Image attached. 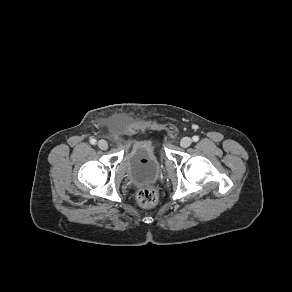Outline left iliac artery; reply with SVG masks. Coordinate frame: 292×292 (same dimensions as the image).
Segmentation results:
<instances>
[{
  "instance_id": "44dca946",
  "label": "left iliac artery",
  "mask_w": 292,
  "mask_h": 292,
  "mask_svg": "<svg viewBox=\"0 0 292 292\" xmlns=\"http://www.w3.org/2000/svg\"><path fill=\"white\" fill-rule=\"evenodd\" d=\"M192 140H193L194 142H197V141L199 140V137L195 135V136L192 137Z\"/></svg>"
}]
</instances>
